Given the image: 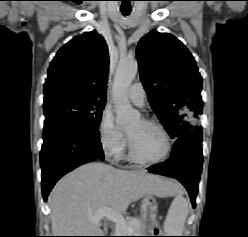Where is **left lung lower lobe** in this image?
<instances>
[{
	"label": "left lung lower lobe",
	"instance_id": "1",
	"mask_svg": "<svg viewBox=\"0 0 248 237\" xmlns=\"http://www.w3.org/2000/svg\"><path fill=\"white\" fill-rule=\"evenodd\" d=\"M201 143L202 131L199 128L189 130L176 140L171 158L149 170L180 181L188 190L193 207L203 162Z\"/></svg>",
	"mask_w": 248,
	"mask_h": 237
}]
</instances>
